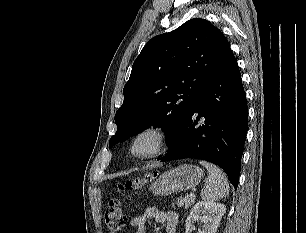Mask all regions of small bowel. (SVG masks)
Here are the masks:
<instances>
[{"instance_id": "obj_1", "label": "small bowel", "mask_w": 306, "mask_h": 233, "mask_svg": "<svg viewBox=\"0 0 306 233\" xmlns=\"http://www.w3.org/2000/svg\"><path fill=\"white\" fill-rule=\"evenodd\" d=\"M149 221H156L166 225L168 233H175L179 223V216L176 212H163L157 208L150 207L144 214L134 217L130 224L136 228V233H146V226Z\"/></svg>"}]
</instances>
